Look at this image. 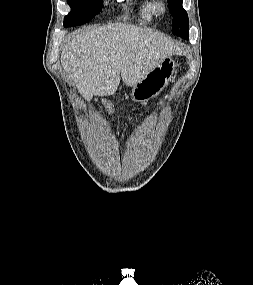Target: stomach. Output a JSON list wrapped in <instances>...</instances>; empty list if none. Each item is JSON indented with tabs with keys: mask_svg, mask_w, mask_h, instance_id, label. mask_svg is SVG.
I'll return each instance as SVG.
<instances>
[{
	"mask_svg": "<svg viewBox=\"0 0 253 285\" xmlns=\"http://www.w3.org/2000/svg\"><path fill=\"white\" fill-rule=\"evenodd\" d=\"M177 64L170 57L163 59L136 85L132 86V99L136 102H147L157 96L173 78Z\"/></svg>",
	"mask_w": 253,
	"mask_h": 285,
	"instance_id": "1",
	"label": "stomach"
}]
</instances>
